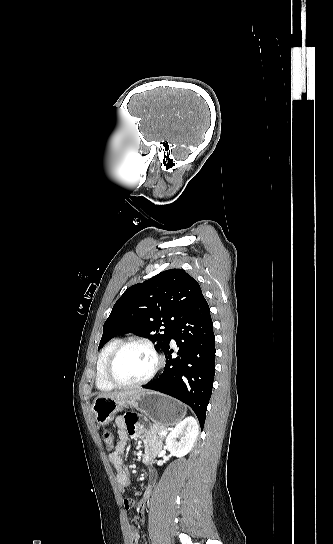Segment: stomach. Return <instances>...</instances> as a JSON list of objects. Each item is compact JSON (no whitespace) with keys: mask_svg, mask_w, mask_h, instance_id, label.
Here are the masks:
<instances>
[{"mask_svg":"<svg viewBox=\"0 0 333 544\" xmlns=\"http://www.w3.org/2000/svg\"><path fill=\"white\" fill-rule=\"evenodd\" d=\"M131 406L148 416L154 424L168 427L185 417L182 403L158 392L144 391L125 398H96L92 403L95 420L101 426L108 425L115 414Z\"/></svg>","mask_w":333,"mask_h":544,"instance_id":"stomach-1","label":"stomach"}]
</instances>
